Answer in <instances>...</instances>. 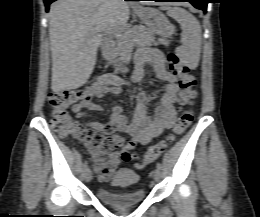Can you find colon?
<instances>
[{"label": "colon", "mask_w": 260, "mask_h": 217, "mask_svg": "<svg viewBox=\"0 0 260 217\" xmlns=\"http://www.w3.org/2000/svg\"><path fill=\"white\" fill-rule=\"evenodd\" d=\"M167 63L169 71L180 78L182 103L185 105L190 104L195 97L193 88L196 81L189 74V67L175 54L168 56ZM89 99L90 95L82 90L51 93L49 96L51 106L50 125L61 137L82 142L92 153V163L96 172L103 178H109L115 168L112 158L117 154L116 144L113 139L104 136L99 130L82 126L69 113L70 108L80 106ZM193 119L194 112L192 109L184 111L171 133L145 152L139 166H144L156 160L178 136L186 131ZM119 154L124 160H130L133 157V153L129 148L121 150Z\"/></svg>", "instance_id": "obj_1"}]
</instances>
